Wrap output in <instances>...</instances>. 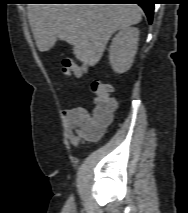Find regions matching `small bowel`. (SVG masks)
Wrapping results in <instances>:
<instances>
[{"mask_svg":"<svg viewBox=\"0 0 188 213\" xmlns=\"http://www.w3.org/2000/svg\"><path fill=\"white\" fill-rule=\"evenodd\" d=\"M65 118L67 120L69 130H75V135H70L71 141L76 144L79 138L93 141L100 138L107 126L109 125H94L93 117H91L87 109L83 107H75L65 110Z\"/></svg>","mask_w":188,"mask_h":213,"instance_id":"1","label":"small bowel"}]
</instances>
